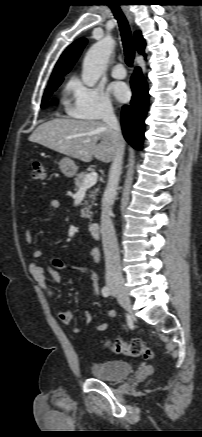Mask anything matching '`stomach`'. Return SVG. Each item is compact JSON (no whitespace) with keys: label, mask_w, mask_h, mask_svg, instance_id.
<instances>
[{"label":"stomach","mask_w":202,"mask_h":437,"mask_svg":"<svg viewBox=\"0 0 202 437\" xmlns=\"http://www.w3.org/2000/svg\"><path fill=\"white\" fill-rule=\"evenodd\" d=\"M61 172L68 178L76 175L78 167L75 162L70 158H63L58 162Z\"/></svg>","instance_id":"0dacf381"}]
</instances>
